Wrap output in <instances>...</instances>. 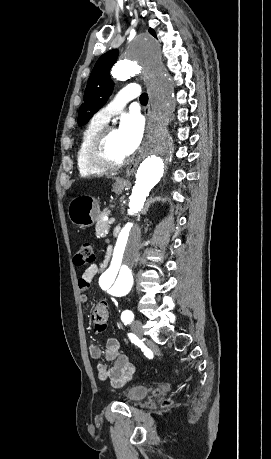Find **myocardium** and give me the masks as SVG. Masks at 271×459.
Segmentation results:
<instances>
[{
    "label": "myocardium",
    "instance_id": "f54148a6",
    "mask_svg": "<svg viewBox=\"0 0 271 459\" xmlns=\"http://www.w3.org/2000/svg\"><path fill=\"white\" fill-rule=\"evenodd\" d=\"M114 129L113 126L104 127L90 139L86 148V158L91 165L115 168L129 157V154L115 155L111 152L108 141Z\"/></svg>",
    "mask_w": 271,
    "mask_h": 459
}]
</instances>
